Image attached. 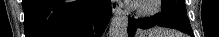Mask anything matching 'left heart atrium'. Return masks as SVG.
<instances>
[{
    "instance_id": "left-heart-atrium-1",
    "label": "left heart atrium",
    "mask_w": 219,
    "mask_h": 37,
    "mask_svg": "<svg viewBox=\"0 0 219 37\" xmlns=\"http://www.w3.org/2000/svg\"><path fill=\"white\" fill-rule=\"evenodd\" d=\"M134 3H139L140 1H133Z\"/></svg>"
}]
</instances>
